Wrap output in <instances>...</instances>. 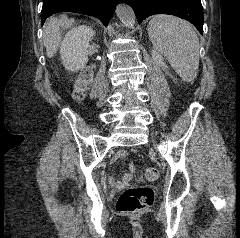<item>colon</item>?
Instances as JSON below:
<instances>
[{"label":"colon","instance_id":"colon-1","mask_svg":"<svg viewBox=\"0 0 240 238\" xmlns=\"http://www.w3.org/2000/svg\"><path fill=\"white\" fill-rule=\"evenodd\" d=\"M93 68L82 69L75 78L72 86L73 98L80 101L84 98L93 79ZM147 180H155L159 177V171L155 167H149L144 172ZM154 200L153 190L149 187L130 188L124 190L119 196L116 209L125 214H135L151 206Z\"/></svg>","mask_w":240,"mask_h":238}]
</instances>
